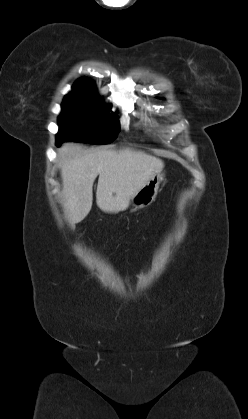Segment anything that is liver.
<instances>
[{"instance_id": "6515ba94", "label": "liver", "mask_w": 248, "mask_h": 419, "mask_svg": "<svg viewBox=\"0 0 248 419\" xmlns=\"http://www.w3.org/2000/svg\"><path fill=\"white\" fill-rule=\"evenodd\" d=\"M58 154L62 205L72 228L91 210L97 176V206L103 212L118 213L126 210L131 198L164 167L161 159L129 148L83 153L79 145L66 143Z\"/></svg>"}]
</instances>
